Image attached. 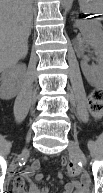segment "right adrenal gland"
<instances>
[{
    "instance_id": "obj_1",
    "label": "right adrenal gland",
    "mask_w": 103,
    "mask_h": 193,
    "mask_svg": "<svg viewBox=\"0 0 103 193\" xmlns=\"http://www.w3.org/2000/svg\"><path fill=\"white\" fill-rule=\"evenodd\" d=\"M33 28V22L31 23L30 25V32H31V29Z\"/></svg>"
}]
</instances>
